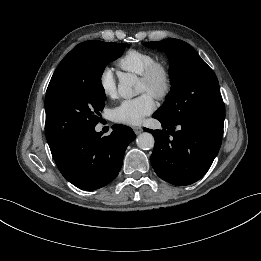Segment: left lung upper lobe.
<instances>
[{
    "instance_id": "obj_1",
    "label": "left lung upper lobe",
    "mask_w": 261,
    "mask_h": 261,
    "mask_svg": "<svg viewBox=\"0 0 261 261\" xmlns=\"http://www.w3.org/2000/svg\"><path fill=\"white\" fill-rule=\"evenodd\" d=\"M144 46L164 51L170 62L171 91L155 116L178 122L225 115L217 77L193 47L177 39L146 42Z\"/></svg>"
}]
</instances>
